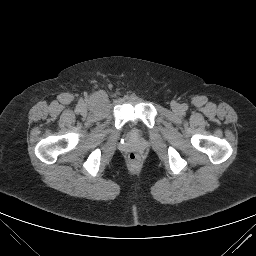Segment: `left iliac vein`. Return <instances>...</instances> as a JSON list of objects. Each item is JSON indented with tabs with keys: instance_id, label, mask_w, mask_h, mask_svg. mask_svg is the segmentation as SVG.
I'll return each instance as SVG.
<instances>
[{
	"instance_id": "1",
	"label": "left iliac vein",
	"mask_w": 256,
	"mask_h": 256,
	"mask_svg": "<svg viewBox=\"0 0 256 256\" xmlns=\"http://www.w3.org/2000/svg\"><path fill=\"white\" fill-rule=\"evenodd\" d=\"M172 109L174 112L179 113L181 111V106L178 103H173Z\"/></svg>"
}]
</instances>
